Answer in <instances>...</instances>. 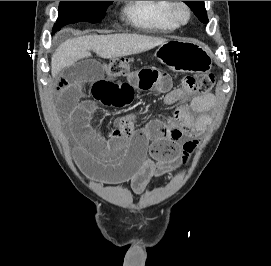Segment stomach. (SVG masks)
<instances>
[{"mask_svg":"<svg viewBox=\"0 0 271 266\" xmlns=\"http://www.w3.org/2000/svg\"><path fill=\"white\" fill-rule=\"evenodd\" d=\"M154 56L174 72H207L212 67L209 51L200 43L189 40H169L160 45Z\"/></svg>","mask_w":271,"mask_h":266,"instance_id":"stomach-1","label":"stomach"}]
</instances>
